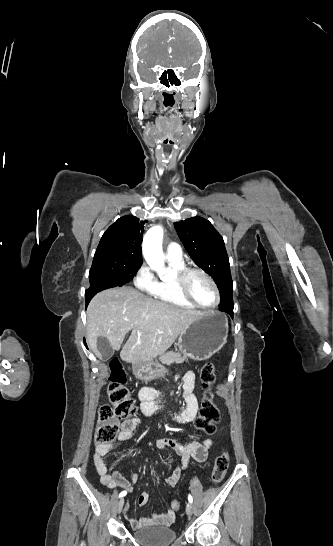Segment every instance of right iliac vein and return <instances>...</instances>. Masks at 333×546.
Here are the masks:
<instances>
[{
	"label": "right iliac vein",
	"instance_id": "right-iliac-vein-1",
	"mask_svg": "<svg viewBox=\"0 0 333 546\" xmlns=\"http://www.w3.org/2000/svg\"><path fill=\"white\" fill-rule=\"evenodd\" d=\"M124 505V498H121L117 503V512L120 513L122 511Z\"/></svg>",
	"mask_w": 333,
	"mask_h": 546
}]
</instances>
